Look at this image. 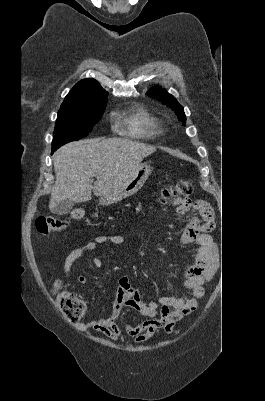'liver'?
Returning <instances> with one entry per match:
<instances>
[{
  "mask_svg": "<svg viewBox=\"0 0 265 401\" xmlns=\"http://www.w3.org/2000/svg\"><path fill=\"white\" fill-rule=\"evenodd\" d=\"M102 138L69 142L53 154L56 180L51 188L50 211L66 198L73 203L91 201L92 190L95 196L112 192L156 150V146L139 140ZM93 176L97 178L94 184Z\"/></svg>",
  "mask_w": 265,
  "mask_h": 401,
  "instance_id": "liver-1",
  "label": "liver"
}]
</instances>
